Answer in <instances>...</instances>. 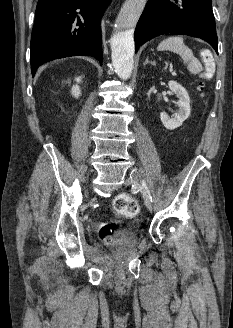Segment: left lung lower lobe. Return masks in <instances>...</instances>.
I'll use <instances>...</instances> for the list:
<instances>
[{
	"instance_id": "1",
	"label": "left lung lower lobe",
	"mask_w": 233,
	"mask_h": 328,
	"mask_svg": "<svg viewBox=\"0 0 233 328\" xmlns=\"http://www.w3.org/2000/svg\"><path fill=\"white\" fill-rule=\"evenodd\" d=\"M168 33L199 37L218 52L211 0H149L135 29V52L144 42Z\"/></svg>"
}]
</instances>
